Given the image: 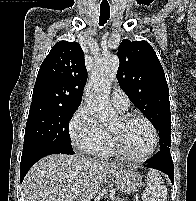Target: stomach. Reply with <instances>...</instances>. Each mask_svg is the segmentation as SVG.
Segmentation results:
<instances>
[{"label":"stomach","mask_w":196,"mask_h":201,"mask_svg":"<svg viewBox=\"0 0 196 201\" xmlns=\"http://www.w3.org/2000/svg\"><path fill=\"white\" fill-rule=\"evenodd\" d=\"M112 176L119 190L124 194L135 193L142 186V178L132 169H119Z\"/></svg>","instance_id":"obj_1"}]
</instances>
